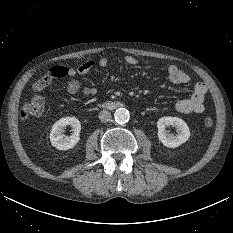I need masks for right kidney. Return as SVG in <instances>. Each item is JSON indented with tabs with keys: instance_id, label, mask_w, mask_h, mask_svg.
Returning <instances> with one entry per match:
<instances>
[{
	"instance_id": "1",
	"label": "right kidney",
	"mask_w": 233,
	"mask_h": 233,
	"mask_svg": "<svg viewBox=\"0 0 233 233\" xmlns=\"http://www.w3.org/2000/svg\"><path fill=\"white\" fill-rule=\"evenodd\" d=\"M71 126L73 133L71 136L63 138L61 134L64 127ZM81 124L75 117H65L56 121L50 132V141L52 146L58 150L72 149L80 140Z\"/></svg>"
}]
</instances>
